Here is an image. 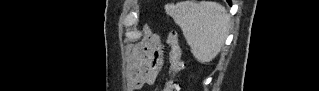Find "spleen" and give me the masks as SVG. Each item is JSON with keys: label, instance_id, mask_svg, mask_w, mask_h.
Returning <instances> with one entry per match:
<instances>
[{"label": "spleen", "instance_id": "1", "mask_svg": "<svg viewBox=\"0 0 319 91\" xmlns=\"http://www.w3.org/2000/svg\"><path fill=\"white\" fill-rule=\"evenodd\" d=\"M166 13L181 28L193 56L200 63L212 61L221 51L230 30V15L211 1H181L165 5Z\"/></svg>", "mask_w": 319, "mask_h": 91}]
</instances>
